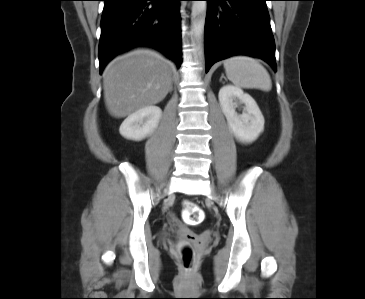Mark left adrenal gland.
<instances>
[{"instance_id":"1","label":"left adrenal gland","mask_w":365,"mask_h":299,"mask_svg":"<svg viewBox=\"0 0 365 299\" xmlns=\"http://www.w3.org/2000/svg\"><path fill=\"white\" fill-rule=\"evenodd\" d=\"M225 79L224 75L222 74L221 78H220V82L222 81V79Z\"/></svg>"}]
</instances>
